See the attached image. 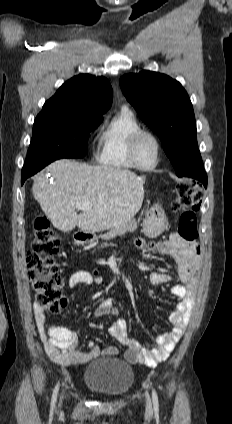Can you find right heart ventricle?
I'll return each mask as SVG.
<instances>
[{
	"label": "right heart ventricle",
	"instance_id": "obj_1",
	"mask_svg": "<svg viewBox=\"0 0 232 424\" xmlns=\"http://www.w3.org/2000/svg\"><path fill=\"white\" fill-rule=\"evenodd\" d=\"M138 118L128 108H122L105 126L98 139V161L115 169H132L128 147L133 134L141 130Z\"/></svg>",
	"mask_w": 232,
	"mask_h": 424
}]
</instances>
